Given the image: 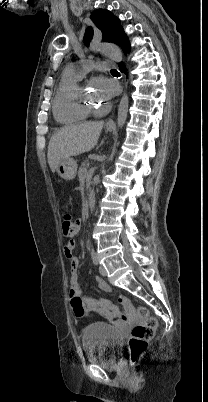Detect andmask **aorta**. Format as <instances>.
<instances>
[{"instance_id": "762f6f07", "label": "aorta", "mask_w": 208, "mask_h": 402, "mask_svg": "<svg viewBox=\"0 0 208 402\" xmlns=\"http://www.w3.org/2000/svg\"><path fill=\"white\" fill-rule=\"evenodd\" d=\"M105 56L109 58V60H113V62H122L123 56L120 48L118 46H115V44H108L107 50H104ZM128 106H129V100L127 94H123L119 108H118V118H117V126L118 128H123L127 114H128ZM89 229H92V226H89ZM88 238H91V235H88ZM87 246L90 248L89 252L91 257L96 258L99 255L97 247L94 246V243L90 241V239H87Z\"/></svg>"}]
</instances>
